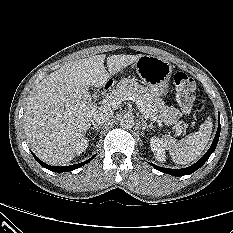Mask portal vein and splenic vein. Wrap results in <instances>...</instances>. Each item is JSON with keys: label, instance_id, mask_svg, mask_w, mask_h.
Listing matches in <instances>:
<instances>
[{"label": "portal vein and splenic vein", "instance_id": "obj_1", "mask_svg": "<svg viewBox=\"0 0 233 233\" xmlns=\"http://www.w3.org/2000/svg\"><path fill=\"white\" fill-rule=\"evenodd\" d=\"M131 100H133L132 98H130ZM121 99L115 95H107L105 96V98L103 99V102L106 104V105H109V106H117L119 104H121ZM136 105L137 107L139 108L140 112L143 113L145 115L146 118H149V111L141 104L140 101H136ZM159 124H161L162 122L161 121H157ZM175 128L177 130V134L179 135L183 129V126L180 125V124H176L175 125Z\"/></svg>", "mask_w": 233, "mask_h": 233}]
</instances>
